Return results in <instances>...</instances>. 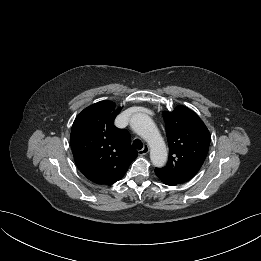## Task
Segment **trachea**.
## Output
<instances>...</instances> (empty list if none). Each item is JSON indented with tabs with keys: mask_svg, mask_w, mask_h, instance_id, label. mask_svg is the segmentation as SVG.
Wrapping results in <instances>:
<instances>
[{
	"mask_svg": "<svg viewBox=\"0 0 261 261\" xmlns=\"http://www.w3.org/2000/svg\"><path fill=\"white\" fill-rule=\"evenodd\" d=\"M132 147H133L134 149L140 150V149L143 148V144H142V142H141L139 139H135V140L133 141Z\"/></svg>",
	"mask_w": 261,
	"mask_h": 261,
	"instance_id": "1",
	"label": "trachea"
}]
</instances>
